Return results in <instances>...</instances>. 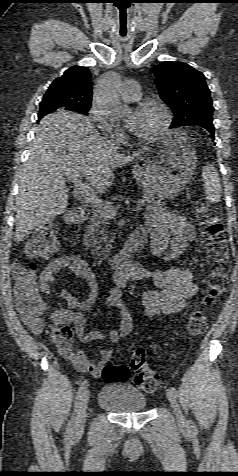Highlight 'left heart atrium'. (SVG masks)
Here are the masks:
<instances>
[{
    "label": "left heart atrium",
    "mask_w": 238,
    "mask_h": 476,
    "mask_svg": "<svg viewBox=\"0 0 238 476\" xmlns=\"http://www.w3.org/2000/svg\"><path fill=\"white\" fill-rule=\"evenodd\" d=\"M135 124V121L134 120H131L127 123L128 127L132 130L133 126Z\"/></svg>",
    "instance_id": "left-heart-atrium-1"
}]
</instances>
